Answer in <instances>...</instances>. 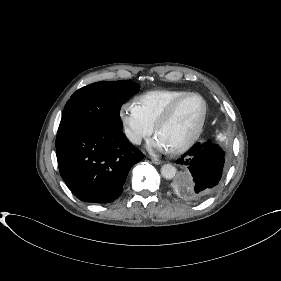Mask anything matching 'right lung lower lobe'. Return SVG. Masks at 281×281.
Instances as JSON below:
<instances>
[{"mask_svg": "<svg viewBox=\"0 0 281 281\" xmlns=\"http://www.w3.org/2000/svg\"><path fill=\"white\" fill-rule=\"evenodd\" d=\"M62 179L80 200L109 203L123 191L131 167L143 159L122 130H87L56 139Z\"/></svg>", "mask_w": 281, "mask_h": 281, "instance_id": "98d812e1", "label": "right lung lower lobe"}]
</instances>
